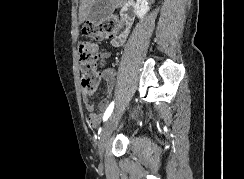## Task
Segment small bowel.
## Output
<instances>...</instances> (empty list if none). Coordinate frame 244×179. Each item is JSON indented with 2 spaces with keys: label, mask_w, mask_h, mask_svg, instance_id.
Returning a JSON list of instances; mask_svg holds the SVG:
<instances>
[{
  "label": "small bowel",
  "mask_w": 244,
  "mask_h": 179,
  "mask_svg": "<svg viewBox=\"0 0 244 179\" xmlns=\"http://www.w3.org/2000/svg\"><path fill=\"white\" fill-rule=\"evenodd\" d=\"M124 41V38L122 36H115L112 40V45L117 47L120 46ZM100 56L103 59H107L111 56L110 50L104 49L100 51ZM103 78L106 82V97L100 101V110L101 112H95L93 103L90 102L89 96L87 94L83 95V101L86 107V110L89 112L88 117V124L96 128L99 126L101 120H102V111L105 110L109 105V99L112 95V92L115 88L116 83V71L106 66L103 70Z\"/></svg>",
  "instance_id": "1"
}]
</instances>
